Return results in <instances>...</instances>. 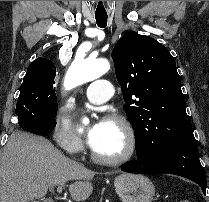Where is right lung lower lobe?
Segmentation results:
<instances>
[{
	"label": "right lung lower lobe",
	"mask_w": 209,
	"mask_h": 202,
	"mask_svg": "<svg viewBox=\"0 0 209 202\" xmlns=\"http://www.w3.org/2000/svg\"><path fill=\"white\" fill-rule=\"evenodd\" d=\"M19 126L25 131L38 134L47 135L52 132L56 126V119L48 120L41 119L35 116H25L19 118Z\"/></svg>",
	"instance_id": "1"
}]
</instances>
